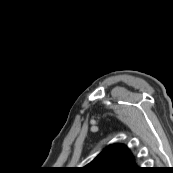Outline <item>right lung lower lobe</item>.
Returning <instances> with one entry per match:
<instances>
[{
  "instance_id": "obj_1",
  "label": "right lung lower lobe",
  "mask_w": 173,
  "mask_h": 173,
  "mask_svg": "<svg viewBox=\"0 0 173 173\" xmlns=\"http://www.w3.org/2000/svg\"><path fill=\"white\" fill-rule=\"evenodd\" d=\"M146 171H144L142 168L140 167H134L133 169H131L128 173H145Z\"/></svg>"
}]
</instances>
